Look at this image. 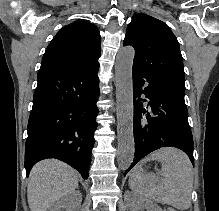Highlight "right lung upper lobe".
Instances as JSON below:
<instances>
[{"mask_svg":"<svg viewBox=\"0 0 219 211\" xmlns=\"http://www.w3.org/2000/svg\"><path fill=\"white\" fill-rule=\"evenodd\" d=\"M101 54L100 33L86 21L64 26L48 45L40 70L90 68L96 66Z\"/></svg>","mask_w":219,"mask_h":211,"instance_id":"obj_1","label":"right lung upper lobe"}]
</instances>
